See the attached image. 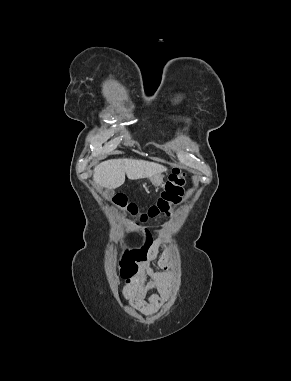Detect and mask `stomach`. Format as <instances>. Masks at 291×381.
Listing matches in <instances>:
<instances>
[{"mask_svg": "<svg viewBox=\"0 0 291 381\" xmlns=\"http://www.w3.org/2000/svg\"><path fill=\"white\" fill-rule=\"evenodd\" d=\"M150 180L155 186H160L163 183V176L162 175L154 176L150 178Z\"/></svg>", "mask_w": 291, "mask_h": 381, "instance_id": "obj_1", "label": "stomach"}]
</instances>
